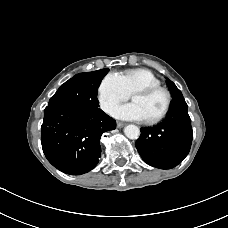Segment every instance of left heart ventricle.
<instances>
[{
	"mask_svg": "<svg viewBox=\"0 0 228 228\" xmlns=\"http://www.w3.org/2000/svg\"><path fill=\"white\" fill-rule=\"evenodd\" d=\"M132 102L140 108L144 119H151L163 110L165 96L160 92L148 96L135 95L132 97Z\"/></svg>",
	"mask_w": 228,
	"mask_h": 228,
	"instance_id": "b2bd125f",
	"label": "left heart ventricle"
}]
</instances>
